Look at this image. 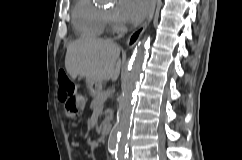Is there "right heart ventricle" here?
Listing matches in <instances>:
<instances>
[{"mask_svg": "<svg viewBox=\"0 0 242 160\" xmlns=\"http://www.w3.org/2000/svg\"><path fill=\"white\" fill-rule=\"evenodd\" d=\"M72 23L76 32L84 38H100L106 29L103 11L93 0H75Z\"/></svg>", "mask_w": 242, "mask_h": 160, "instance_id": "1", "label": "right heart ventricle"}]
</instances>
